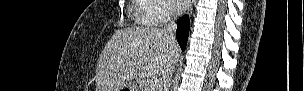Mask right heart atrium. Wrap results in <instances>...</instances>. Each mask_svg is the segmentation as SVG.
Here are the masks:
<instances>
[{
  "label": "right heart atrium",
  "mask_w": 304,
  "mask_h": 91,
  "mask_svg": "<svg viewBox=\"0 0 304 91\" xmlns=\"http://www.w3.org/2000/svg\"><path fill=\"white\" fill-rule=\"evenodd\" d=\"M151 6L148 14V21L154 23H164L174 16V10L166 0H145Z\"/></svg>",
  "instance_id": "d8ad5b80"
}]
</instances>
